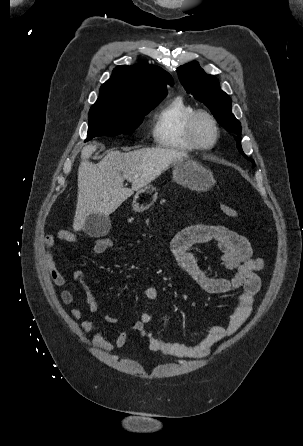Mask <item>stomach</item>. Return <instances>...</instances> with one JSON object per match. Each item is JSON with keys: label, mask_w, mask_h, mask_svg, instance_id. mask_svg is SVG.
I'll list each match as a JSON object with an SVG mask.
<instances>
[{"label": "stomach", "mask_w": 303, "mask_h": 446, "mask_svg": "<svg viewBox=\"0 0 303 446\" xmlns=\"http://www.w3.org/2000/svg\"><path fill=\"white\" fill-rule=\"evenodd\" d=\"M173 179L191 190L204 192L214 184L212 172L200 163L184 158L173 163ZM158 192L153 185H146L139 189L132 202L135 212L147 210L157 199Z\"/></svg>", "instance_id": "obj_1"}]
</instances>
